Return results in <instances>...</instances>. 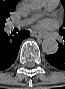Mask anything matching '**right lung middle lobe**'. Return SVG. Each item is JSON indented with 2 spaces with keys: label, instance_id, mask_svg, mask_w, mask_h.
<instances>
[{
  "label": "right lung middle lobe",
  "instance_id": "obj_1",
  "mask_svg": "<svg viewBox=\"0 0 65 89\" xmlns=\"http://www.w3.org/2000/svg\"><path fill=\"white\" fill-rule=\"evenodd\" d=\"M10 16V13L0 12V29L4 28L6 18Z\"/></svg>",
  "mask_w": 65,
  "mask_h": 89
}]
</instances>
